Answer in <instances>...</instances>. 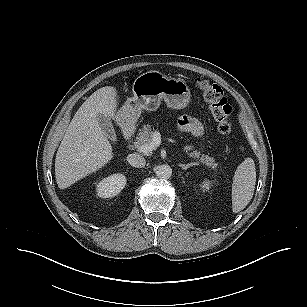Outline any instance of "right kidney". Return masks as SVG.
I'll return each instance as SVG.
<instances>
[{
  "label": "right kidney",
  "mask_w": 307,
  "mask_h": 307,
  "mask_svg": "<svg viewBox=\"0 0 307 307\" xmlns=\"http://www.w3.org/2000/svg\"><path fill=\"white\" fill-rule=\"evenodd\" d=\"M126 185V177L123 174H112L102 179L96 187L97 195L101 198H109L118 195Z\"/></svg>",
  "instance_id": "right-kidney-1"
}]
</instances>
